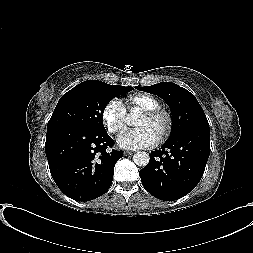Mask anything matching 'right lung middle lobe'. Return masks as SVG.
Listing matches in <instances>:
<instances>
[{
	"instance_id": "dd1d6c3e",
	"label": "right lung middle lobe",
	"mask_w": 253,
	"mask_h": 253,
	"mask_svg": "<svg viewBox=\"0 0 253 253\" xmlns=\"http://www.w3.org/2000/svg\"><path fill=\"white\" fill-rule=\"evenodd\" d=\"M133 90V87L110 85L97 80L84 81L59 100L49 122L47 131L65 126L106 131L103 112L110 100Z\"/></svg>"
}]
</instances>
